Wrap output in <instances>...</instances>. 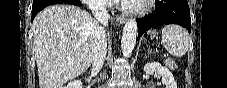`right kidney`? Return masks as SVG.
Instances as JSON below:
<instances>
[{
    "mask_svg": "<svg viewBox=\"0 0 227 88\" xmlns=\"http://www.w3.org/2000/svg\"><path fill=\"white\" fill-rule=\"evenodd\" d=\"M64 88H82V82L80 80L70 81Z\"/></svg>",
    "mask_w": 227,
    "mask_h": 88,
    "instance_id": "right-kidney-1",
    "label": "right kidney"
}]
</instances>
